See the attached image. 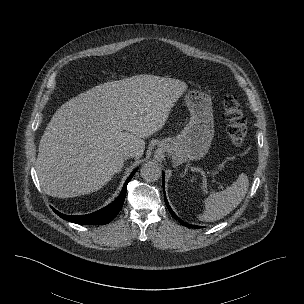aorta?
I'll list each match as a JSON object with an SVG mask.
<instances>
[{
  "mask_svg": "<svg viewBox=\"0 0 304 304\" xmlns=\"http://www.w3.org/2000/svg\"><path fill=\"white\" fill-rule=\"evenodd\" d=\"M141 177L147 182H154L161 176V168L156 162H147L141 167Z\"/></svg>",
  "mask_w": 304,
  "mask_h": 304,
  "instance_id": "1",
  "label": "aorta"
}]
</instances>
